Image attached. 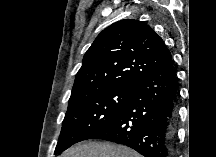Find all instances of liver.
I'll return each instance as SVG.
<instances>
[{"instance_id": "6515ba94", "label": "liver", "mask_w": 216, "mask_h": 157, "mask_svg": "<svg viewBox=\"0 0 216 157\" xmlns=\"http://www.w3.org/2000/svg\"><path fill=\"white\" fill-rule=\"evenodd\" d=\"M61 157H140V154L123 145L89 142L66 150Z\"/></svg>"}]
</instances>
